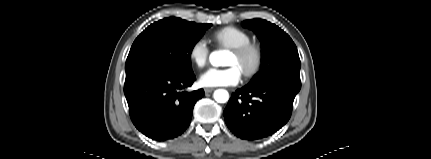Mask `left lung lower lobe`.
I'll return each instance as SVG.
<instances>
[{
    "instance_id": "0a47b994",
    "label": "left lung lower lobe",
    "mask_w": 431,
    "mask_h": 159,
    "mask_svg": "<svg viewBox=\"0 0 431 159\" xmlns=\"http://www.w3.org/2000/svg\"><path fill=\"white\" fill-rule=\"evenodd\" d=\"M301 82L277 77L257 86H244L232 94L224 118L237 137L258 140L278 131L290 119Z\"/></svg>"
}]
</instances>
